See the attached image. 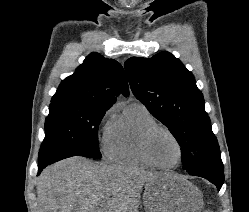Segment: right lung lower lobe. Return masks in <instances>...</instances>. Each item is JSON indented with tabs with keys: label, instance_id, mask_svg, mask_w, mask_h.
<instances>
[{
	"label": "right lung lower lobe",
	"instance_id": "1",
	"mask_svg": "<svg viewBox=\"0 0 249 212\" xmlns=\"http://www.w3.org/2000/svg\"><path fill=\"white\" fill-rule=\"evenodd\" d=\"M62 157L59 158H49V159H43V160H38V175L41 173V171L48 165L57 162L59 160H61Z\"/></svg>",
	"mask_w": 249,
	"mask_h": 212
}]
</instances>
